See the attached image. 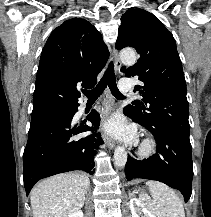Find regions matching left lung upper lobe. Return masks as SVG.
Segmentation results:
<instances>
[{
  "label": "left lung upper lobe",
  "instance_id": "obj_1",
  "mask_svg": "<svg viewBox=\"0 0 211 217\" xmlns=\"http://www.w3.org/2000/svg\"><path fill=\"white\" fill-rule=\"evenodd\" d=\"M133 47L137 63L121 70L143 82L135 91L142 100L126 107L145 128H167L189 136L188 101L182 63L173 35L153 14L131 9L121 17L116 48Z\"/></svg>",
  "mask_w": 211,
  "mask_h": 217
}]
</instances>
